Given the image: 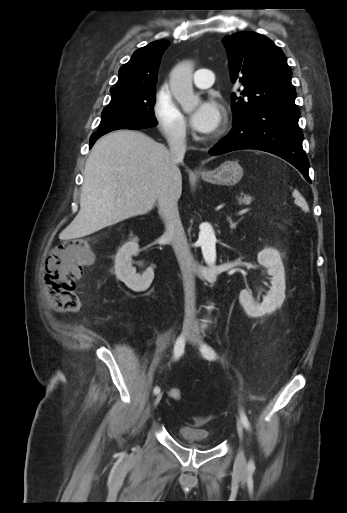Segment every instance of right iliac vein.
Returning <instances> with one entry per match:
<instances>
[{
  "mask_svg": "<svg viewBox=\"0 0 347 513\" xmlns=\"http://www.w3.org/2000/svg\"><path fill=\"white\" fill-rule=\"evenodd\" d=\"M191 330H192V325L190 324V322H185L183 324L182 337L185 339H189ZM162 396H163V393H159L156 396V398L154 399V402H153L154 407H156L160 403Z\"/></svg>",
  "mask_w": 347,
  "mask_h": 513,
  "instance_id": "right-iliac-vein-1",
  "label": "right iliac vein"
}]
</instances>
